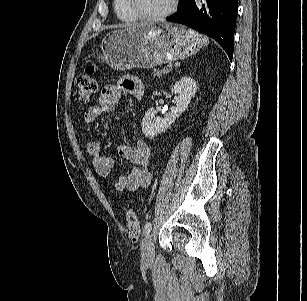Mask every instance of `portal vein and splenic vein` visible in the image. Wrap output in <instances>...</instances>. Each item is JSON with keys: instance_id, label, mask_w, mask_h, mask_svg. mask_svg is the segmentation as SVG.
I'll list each match as a JSON object with an SVG mask.
<instances>
[{"instance_id": "1", "label": "portal vein and splenic vein", "mask_w": 307, "mask_h": 301, "mask_svg": "<svg viewBox=\"0 0 307 301\" xmlns=\"http://www.w3.org/2000/svg\"><path fill=\"white\" fill-rule=\"evenodd\" d=\"M172 66H173V65H172L171 63H170V64H168V68H172Z\"/></svg>"}]
</instances>
